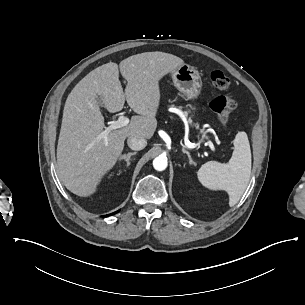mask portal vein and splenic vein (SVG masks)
Listing matches in <instances>:
<instances>
[{
  "instance_id": "1",
  "label": "portal vein and splenic vein",
  "mask_w": 305,
  "mask_h": 305,
  "mask_svg": "<svg viewBox=\"0 0 305 305\" xmlns=\"http://www.w3.org/2000/svg\"><path fill=\"white\" fill-rule=\"evenodd\" d=\"M176 109L177 111L175 112L176 114H178L181 118L183 116V113L181 110L177 109V108H174ZM128 124V119L126 118L125 115H120L118 120L117 121H114V122H110V124L105 127V129L101 132V134L99 135L100 138H103L104 140H108V135L113 131V130H116L118 128H121L125 125ZM209 146H210V149L212 152H216V149L213 145V143H209Z\"/></svg>"
}]
</instances>
